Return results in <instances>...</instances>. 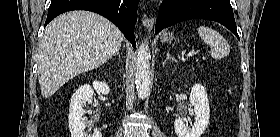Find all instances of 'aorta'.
Returning <instances> with one entry per match:
<instances>
[{
    "instance_id": "1",
    "label": "aorta",
    "mask_w": 280,
    "mask_h": 137,
    "mask_svg": "<svg viewBox=\"0 0 280 137\" xmlns=\"http://www.w3.org/2000/svg\"><path fill=\"white\" fill-rule=\"evenodd\" d=\"M150 52L146 42L137 49L135 82L136 90L140 99H145L149 94L150 86Z\"/></svg>"
}]
</instances>
